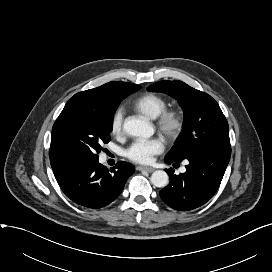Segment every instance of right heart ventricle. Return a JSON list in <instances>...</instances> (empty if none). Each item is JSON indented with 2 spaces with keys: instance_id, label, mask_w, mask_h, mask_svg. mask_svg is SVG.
<instances>
[{
  "instance_id": "1",
  "label": "right heart ventricle",
  "mask_w": 272,
  "mask_h": 272,
  "mask_svg": "<svg viewBox=\"0 0 272 272\" xmlns=\"http://www.w3.org/2000/svg\"><path fill=\"white\" fill-rule=\"evenodd\" d=\"M166 107V100L163 97L152 93L139 97L134 103L135 110L150 119L157 118Z\"/></svg>"
}]
</instances>
